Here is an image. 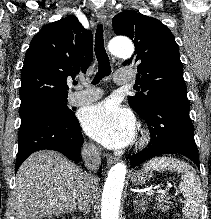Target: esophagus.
Returning <instances> with one entry per match:
<instances>
[{
  "mask_svg": "<svg viewBox=\"0 0 211 219\" xmlns=\"http://www.w3.org/2000/svg\"><path fill=\"white\" fill-rule=\"evenodd\" d=\"M96 15H97V17H98L100 20L104 21L105 24H107V13H106V10H105L104 8H98V9L96 10ZM117 160H118L117 157L109 156V157L107 158V164H108V165H112V164L115 163Z\"/></svg>",
  "mask_w": 211,
  "mask_h": 219,
  "instance_id": "34e87169",
  "label": "esophagus"
}]
</instances>
